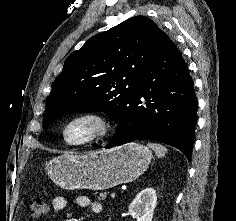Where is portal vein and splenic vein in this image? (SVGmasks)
Segmentation results:
<instances>
[{"mask_svg":"<svg viewBox=\"0 0 236 221\" xmlns=\"http://www.w3.org/2000/svg\"><path fill=\"white\" fill-rule=\"evenodd\" d=\"M110 196H111L112 198H114V197L116 196V193H115V192H112V193L110 194Z\"/></svg>","mask_w":236,"mask_h":221,"instance_id":"portal-vein-and-splenic-vein-1","label":"portal vein and splenic vein"}]
</instances>
